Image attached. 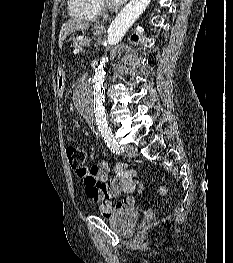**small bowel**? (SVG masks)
Instances as JSON below:
<instances>
[{"mask_svg":"<svg viewBox=\"0 0 233 263\" xmlns=\"http://www.w3.org/2000/svg\"><path fill=\"white\" fill-rule=\"evenodd\" d=\"M87 168L89 172L86 176H78L83 180L87 197L100 204L103 216L108 217L116 210L133 206V195L141 187L135 170L120 164L116 168V174L110 176V166L106 161ZM120 195H123L122 200L113 207L112 200Z\"/></svg>","mask_w":233,"mask_h":263,"instance_id":"obj_1","label":"small bowel"}]
</instances>
